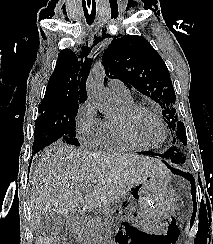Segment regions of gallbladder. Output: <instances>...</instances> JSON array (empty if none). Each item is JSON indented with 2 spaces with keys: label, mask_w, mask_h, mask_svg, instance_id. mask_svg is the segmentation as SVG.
I'll use <instances>...</instances> for the list:
<instances>
[{
  "label": "gallbladder",
  "mask_w": 213,
  "mask_h": 244,
  "mask_svg": "<svg viewBox=\"0 0 213 244\" xmlns=\"http://www.w3.org/2000/svg\"><path fill=\"white\" fill-rule=\"evenodd\" d=\"M65 224V217L59 216L54 212H47L41 216L38 233L42 235H57Z\"/></svg>",
  "instance_id": "obj_1"
}]
</instances>
